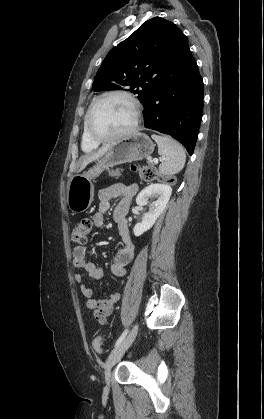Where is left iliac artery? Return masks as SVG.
<instances>
[{"label": "left iliac artery", "instance_id": "1", "mask_svg": "<svg viewBox=\"0 0 264 419\" xmlns=\"http://www.w3.org/2000/svg\"><path fill=\"white\" fill-rule=\"evenodd\" d=\"M127 333H128V329H125L124 331H123V333L121 334V336L118 338V340L116 341V343H115V347H117L124 339H125V337H126V335H127Z\"/></svg>", "mask_w": 264, "mask_h": 419}]
</instances>
